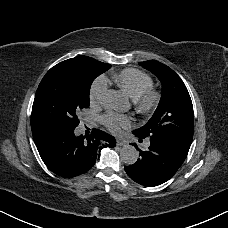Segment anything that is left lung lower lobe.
Instances as JSON below:
<instances>
[{"label":"left lung lower lobe","mask_w":228,"mask_h":228,"mask_svg":"<svg viewBox=\"0 0 228 228\" xmlns=\"http://www.w3.org/2000/svg\"><path fill=\"white\" fill-rule=\"evenodd\" d=\"M133 134L140 142L147 138L150 146L146 151H140L136 163L125 166L128 176L135 182L148 186H158L169 180L184 162L192 140L164 134L141 136L136 131ZM135 147L137 145L133 143Z\"/></svg>","instance_id":"left-lung-lower-lobe-1"}]
</instances>
